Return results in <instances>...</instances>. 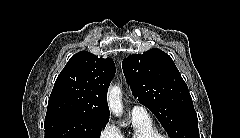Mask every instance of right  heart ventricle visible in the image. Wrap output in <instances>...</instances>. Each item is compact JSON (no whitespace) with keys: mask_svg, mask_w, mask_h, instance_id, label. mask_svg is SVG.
<instances>
[{"mask_svg":"<svg viewBox=\"0 0 240 138\" xmlns=\"http://www.w3.org/2000/svg\"><path fill=\"white\" fill-rule=\"evenodd\" d=\"M133 132L120 138H154L159 133L148 116H132Z\"/></svg>","mask_w":240,"mask_h":138,"instance_id":"1","label":"right heart ventricle"}]
</instances>
